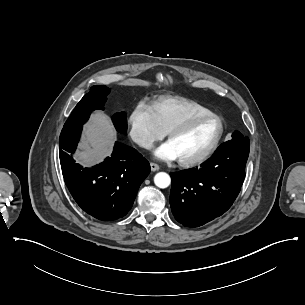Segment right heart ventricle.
<instances>
[{"instance_id":"e07e8e85","label":"right heart ventricle","mask_w":305,"mask_h":305,"mask_svg":"<svg viewBox=\"0 0 305 305\" xmlns=\"http://www.w3.org/2000/svg\"><path fill=\"white\" fill-rule=\"evenodd\" d=\"M152 107L165 132L189 117L210 112L205 106L178 96L164 97L153 104Z\"/></svg>"}]
</instances>
